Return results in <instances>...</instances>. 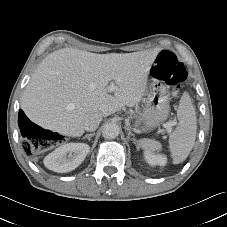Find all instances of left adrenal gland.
I'll use <instances>...</instances> for the list:
<instances>
[{
  "mask_svg": "<svg viewBox=\"0 0 227 227\" xmlns=\"http://www.w3.org/2000/svg\"><path fill=\"white\" fill-rule=\"evenodd\" d=\"M126 130L128 131V136H127V138H130V136H132V141H133L134 143H137V140L134 138V134L131 132V130H130L128 127H126Z\"/></svg>",
  "mask_w": 227,
  "mask_h": 227,
  "instance_id": "obj_1",
  "label": "left adrenal gland"
}]
</instances>
